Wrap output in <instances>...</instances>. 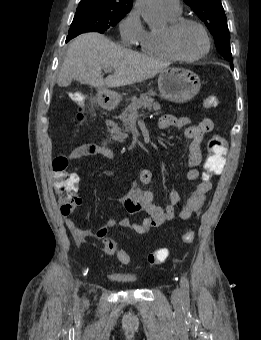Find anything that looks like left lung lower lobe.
I'll use <instances>...</instances> for the list:
<instances>
[{
	"label": "left lung lower lobe",
	"instance_id": "obj_1",
	"mask_svg": "<svg viewBox=\"0 0 261 340\" xmlns=\"http://www.w3.org/2000/svg\"><path fill=\"white\" fill-rule=\"evenodd\" d=\"M230 67H231V69H233V64H232V65H230Z\"/></svg>",
	"mask_w": 261,
	"mask_h": 340
}]
</instances>
